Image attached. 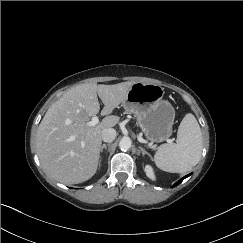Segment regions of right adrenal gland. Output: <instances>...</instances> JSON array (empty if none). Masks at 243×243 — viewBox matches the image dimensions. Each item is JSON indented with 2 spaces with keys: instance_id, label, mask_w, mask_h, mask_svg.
<instances>
[{
  "instance_id": "obj_1",
  "label": "right adrenal gland",
  "mask_w": 243,
  "mask_h": 243,
  "mask_svg": "<svg viewBox=\"0 0 243 243\" xmlns=\"http://www.w3.org/2000/svg\"><path fill=\"white\" fill-rule=\"evenodd\" d=\"M107 146H109V144H103L102 146H101V148H100V153H103V150L105 149H107Z\"/></svg>"
}]
</instances>
